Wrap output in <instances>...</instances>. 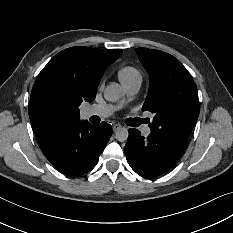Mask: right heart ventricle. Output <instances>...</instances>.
<instances>
[{"mask_svg":"<svg viewBox=\"0 0 233 233\" xmlns=\"http://www.w3.org/2000/svg\"><path fill=\"white\" fill-rule=\"evenodd\" d=\"M117 75L122 85H141L142 83V74L140 70L132 64H127L120 67Z\"/></svg>","mask_w":233,"mask_h":233,"instance_id":"right-heart-ventricle-1","label":"right heart ventricle"}]
</instances>
